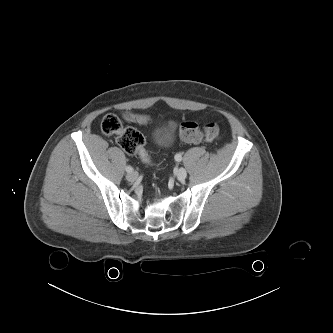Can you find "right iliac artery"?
<instances>
[{
    "mask_svg": "<svg viewBox=\"0 0 333 333\" xmlns=\"http://www.w3.org/2000/svg\"><path fill=\"white\" fill-rule=\"evenodd\" d=\"M126 171L130 173L133 171V168L131 166H126Z\"/></svg>",
    "mask_w": 333,
    "mask_h": 333,
    "instance_id": "1",
    "label": "right iliac artery"
}]
</instances>
